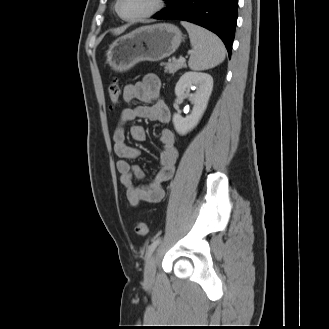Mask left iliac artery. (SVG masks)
<instances>
[{"label":"left iliac artery","instance_id":"left-iliac-artery-1","mask_svg":"<svg viewBox=\"0 0 329 329\" xmlns=\"http://www.w3.org/2000/svg\"><path fill=\"white\" fill-rule=\"evenodd\" d=\"M160 242H161V238L159 237L149 245L147 253H146L147 258H149L151 256V254L153 253V251L159 245Z\"/></svg>","mask_w":329,"mask_h":329}]
</instances>
